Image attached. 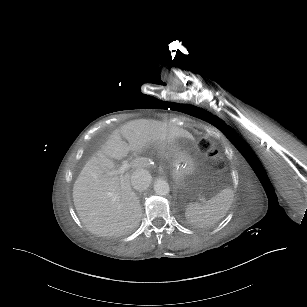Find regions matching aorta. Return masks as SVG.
I'll return each instance as SVG.
<instances>
[{"label":"aorta","mask_w":307,"mask_h":307,"mask_svg":"<svg viewBox=\"0 0 307 307\" xmlns=\"http://www.w3.org/2000/svg\"><path fill=\"white\" fill-rule=\"evenodd\" d=\"M154 191L159 196H165L170 193V185L164 180H157L154 183Z\"/></svg>","instance_id":"obj_1"}]
</instances>
